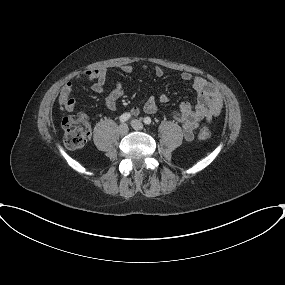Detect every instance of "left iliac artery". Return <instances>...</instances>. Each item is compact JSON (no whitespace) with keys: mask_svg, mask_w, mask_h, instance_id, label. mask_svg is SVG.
Here are the masks:
<instances>
[{"mask_svg":"<svg viewBox=\"0 0 285 285\" xmlns=\"http://www.w3.org/2000/svg\"><path fill=\"white\" fill-rule=\"evenodd\" d=\"M143 122L146 124V125H149L151 124V118L150 117H145Z\"/></svg>","mask_w":285,"mask_h":285,"instance_id":"obj_1","label":"left iliac artery"}]
</instances>
